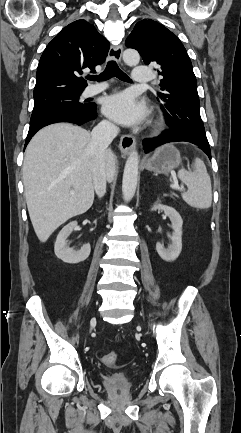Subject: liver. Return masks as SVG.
Segmentation results:
<instances>
[{
	"instance_id": "liver-1",
	"label": "liver",
	"mask_w": 241,
	"mask_h": 433,
	"mask_svg": "<svg viewBox=\"0 0 241 433\" xmlns=\"http://www.w3.org/2000/svg\"><path fill=\"white\" fill-rule=\"evenodd\" d=\"M90 140V133L85 129L56 123L41 129L26 148L25 198L34 231L42 243L60 225L85 213L93 204ZM115 170L116 158L111 150H106L108 181L113 180Z\"/></svg>"
}]
</instances>
